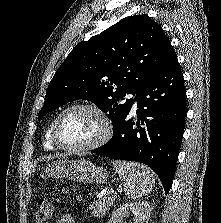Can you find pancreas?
I'll return each instance as SVG.
<instances>
[{
	"label": "pancreas",
	"mask_w": 221,
	"mask_h": 223,
	"mask_svg": "<svg viewBox=\"0 0 221 223\" xmlns=\"http://www.w3.org/2000/svg\"><path fill=\"white\" fill-rule=\"evenodd\" d=\"M115 198L116 194L112 195V193H106L103 198L94 202L95 206L90 207V209L92 210L91 215L94 217L104 216L109 207L113 205Z\"/></svg>",
	"instance_id": "cf45deb5"
}]
</instances>
